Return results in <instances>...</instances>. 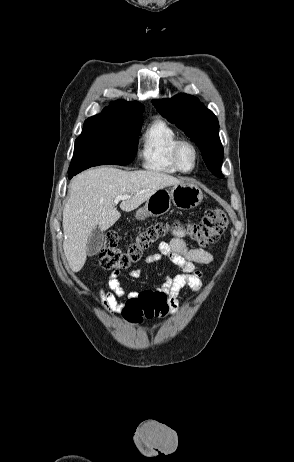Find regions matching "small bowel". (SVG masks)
Wrapping results in <instances>:
<instances>
[{
	"label": "small bowel",
	"instance_id": "obj_1",
	"mask_svg": "<svg viewBox=\"0 0 294 462\" xmlns=\"http://www.w3.org/2000/svg\"><path fill=\"white\" fill-rule=\"evenodd\" d=\"M171 233L172 239L169 242L160 243L158 252L148 255L145 262L152 264L165 258L180 269V274L167 276L164 283L155 289L166 296L171 313L177 314L179 293L184 288H189L194 292L201 290L202 274L197 266L210 264L213 256L206 250L188 247L184 240L186 231L182 226H173ZM142 273L143 269H135L129 274L133 278H138ZM138 293L123 288L119 279V271H113L106 282V288L99 289L96 299L106 311L116 314L122 312L126 303L118 301V298H131L137 296Z\"/></svg>",
	"mask_w": 294,
	"mask_h": 462
}]
</instances>
